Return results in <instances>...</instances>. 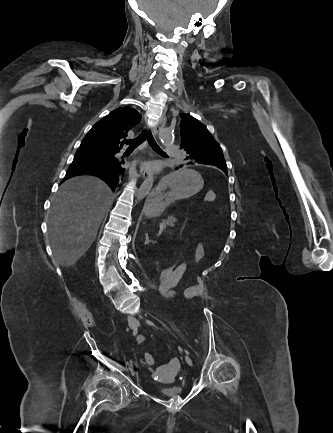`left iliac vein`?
I'll use <instances>...</instances> for the list:
<instances>
[{
  "label": "left iliac vein",
  "mask_w": 333,
  "mask_h": 433,
  "mask_svg": "<svg viewBox=\"0 0 333 433\" xmlns=\"http://www.w3.org/2000/svg\"><path fill=\"white\" fill-rule=\"evenodd\" d=\"M185 360H186V362L190 365V366H193V363H192V360L190 359V357L189 356H185Z\"/></svg>",
  "instance_id": "1"
}]
</instances>
